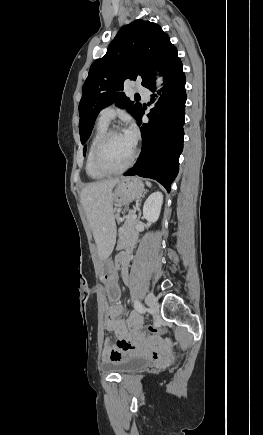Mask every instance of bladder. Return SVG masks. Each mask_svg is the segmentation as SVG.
Segmentation results:
<instances>
[{
    "label": "bladder",
    "mask_w": 263,
    "mask_h": 435,
    "mask_svg": "<svg viewBox=\"0 0 263 435\" xmlns=\"http://www.w3.org/2000/svg\"><path fill=\"white\" fill-rule=\"evenodd\" d=\"M147 363L148 360L145 357L130 354L121 360L104 364L102 367L106 372L125 375L142 369Z\"/></svg>",
    "instance_id": "bladder-1"
}]
</instances>
